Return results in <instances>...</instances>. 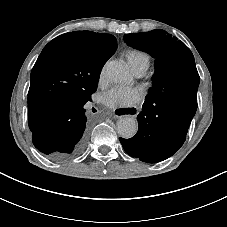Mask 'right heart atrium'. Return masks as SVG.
Here are the masks:
<instances>
[{
	"label": "right heart atrium",
	"mask_w": 227,
	"mask_h": 227,
	"mask_svg": "<svg viewBox=\"0 0 227 227\" xmlns=\"http://www.w3.org/2000/svg\"><path fill=\"white\" fill-rule=\"evenodd\" d=\"M105 77V65L101 67L99 71V81H102Z\"/></svg>",
	"instance_id": "obj_1"
}]
</instances>
